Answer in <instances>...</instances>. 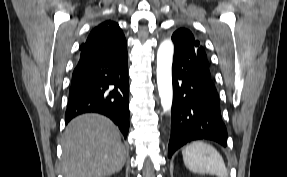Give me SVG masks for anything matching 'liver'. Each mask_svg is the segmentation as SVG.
<instances>
[{
  "mask_svg": "<svg viewBox=\"0 0 287 177\" xmlns=\"http://www.w3.org/2000/svg\"><path fill=\"white\" fill-rule=\"evenodd\" d=\"M65 177H105L119 172L126 161L120 132L106 117L84 114L66 127L62 141Z\"/></svg>",
  "mask_w": 287,
  "mask_h": 177,
  "instance_id": "6515ba94",
  "label": "liver"
}]
</instances>
